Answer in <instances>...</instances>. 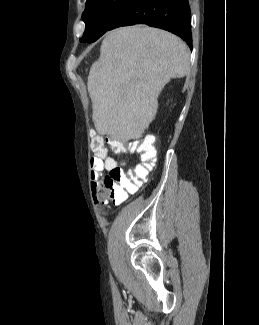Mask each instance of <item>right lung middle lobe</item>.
<instances>
[{"label": "right lung middle lobe", "instance_id": "1", "mask_svg": "<svg viewBox=\"0 0 259 325\" xmlns=\"http://www.w3.org/2000/svg\"><path fill=\"white\" fill-rule=\"evenodd\" d=\"M129 0H87L82 19L85 32L80 42L91 43L101 37Z\"/></svg>", "mask_w": 259, "mask_h": 325}]
</instances>
